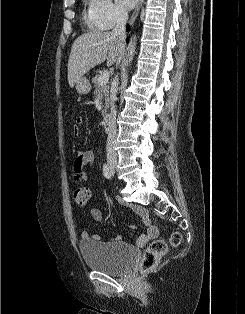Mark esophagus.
Segmentation results:
<instances>
[{
  "mask_svg": "<svg viewBox=\"0 0 245 314\" xmlns=\"http://www.w3.org/2000/svg\"><path fill=\"white\" fill-rule=\"evenodd\" d=\"M143 1H144V0H139L138 4H137V6H136L134 12L132 13L130 20H129V23H130V24H132V23L136 20L138 14H139V11H140V9H141V6H142V4H143Z\"/></svg>",
  "mask_w": 245,
  "mask_h": 314,
  "instance_id": "obj_1",
  "label": "esophagus"
}]
</instances>
